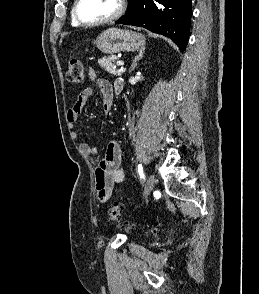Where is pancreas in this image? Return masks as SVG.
<instances>
[{
    "label": "pancreas",
    "mask_w": 259,
    "mask_h": 294,
    "mask_svg": "<svg viewBox=\"0 0 259 294\" xmlns=\"http://www.w3.org/2000/svg\"><path fill=\"white\" fill-rule=\"evenodd\" d=\"M118 60V57L111 55L108 57H102L98 60L99 65L104 68L105 71L113 75H122L125 72L124 68L118 69L115 62Z\"/></svg>",
    "instance_id": "cf45deb5"
}]
</instances>
